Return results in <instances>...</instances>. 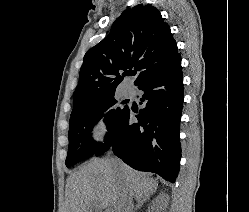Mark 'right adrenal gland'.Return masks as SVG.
<instances>
[{
  "instance_id": "2a0ac1e0",
  "label": "right adrenal gland",
  "mask_w": 249,
  "mask_h": 212,
  "mask_svg": "<svg viewBox=\"0 0 249 212\" xmlns=\"http://www.w3.org/2000/svg\"><path fill=\"white\" fill-rule=\"evenodd\" d=\"M137 200V204H136V208H134L135 212H138V210H140V208H142L143 204H145V202H147V200H139V198H136Z\"/></svg>"
}]
</instances>
